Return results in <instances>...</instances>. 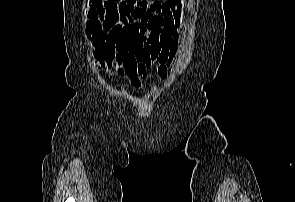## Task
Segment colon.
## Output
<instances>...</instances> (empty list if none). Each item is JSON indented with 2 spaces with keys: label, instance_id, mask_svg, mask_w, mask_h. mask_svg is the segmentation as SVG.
Masks as SVG:
<instances>
[{
  "label": "colon",
  "instance_id": "colon-1",
  "mask_svg": "<svg viewBox=\"0 0 295 202\" xmlns=\"http://www.w3.org/2000/svg\"><path fill=\"white\" fill-rule=\"evenodd\" d=\"M137 0H105V2H102L103 7L107 10L108 14L114 15H123L128 13L131 10V6L133 3H135ZM111 25V22L106 21V26L109 28ZM106 33L102 30H97L95 32V40L98 44H102L106 40Z\"/></svg>",
  "mask_w": 295,
  "mask_h": 202
}]
</instances>
